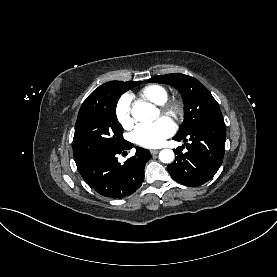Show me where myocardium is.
<instances>
[{
    "label": "myocardium",
    "mask_w": 277,
    "mask_h": 277,
    "mask_svg": "<svg viewBox=\"0 0 277 277\" xmlns=\"http://www.w3.org/2000/svg\"><path fill=\"white\" fill-rule=\"evenodd\" d=\"M160 112L173 120H180L184 115V104L179 99L166 100L159 105Z\"/></svg>",
    "instance_id": "myocardium-1"
}]
</instances>
